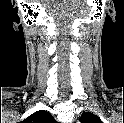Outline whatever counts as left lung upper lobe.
<instances>
[{
    "label": "left lung upper lobe",
    "instance_id": "obj_1",
    "mask_svg": "<svg viewBox=\"0 0 124 123\" xmlns=\"http://www.w3.org/2000/svg\"><path fill=\"white\" fill-rule=\"evenodd\" d=\"M79 121L81 123H102V121L100 120L98 116L90 112L83 113Z\"/></svg>",
    "mask_w": 124,
    "mask_h": 123
}]
</instances>
